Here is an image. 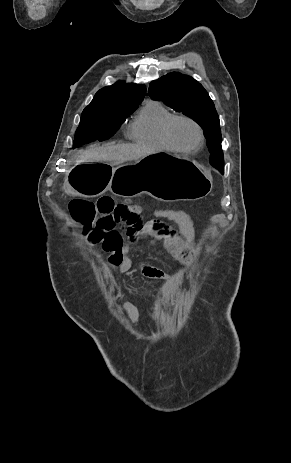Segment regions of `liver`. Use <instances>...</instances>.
<instances>
[{
  "mask_svg": "<svg viewBox=\"0 0 291 463\" xmlns=\"http://www.w3.org/2000/svg\"><path fill=\"white\" fill-rule=\"evenodd\" d=\"M156 153L154 148L132 144H107L92 146L80 152L78 163L110 162L118 165L126 161L139 160Z\"/></svg>",
  "mask_w": 291,
  "mask_h": 463,
  "instance_id": "6515ba94",
  "label": "liver"
}]
</instances>
